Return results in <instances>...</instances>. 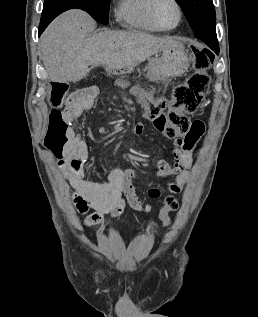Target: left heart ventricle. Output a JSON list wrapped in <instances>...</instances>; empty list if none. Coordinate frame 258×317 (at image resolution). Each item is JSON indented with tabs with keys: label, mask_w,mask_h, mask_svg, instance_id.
<instances>
[{
	"label": "left heart ventricle",
	"mask_w": 258,
	"mask_h": 317,
	"mask_svg": "<svg viewBox=\"0 0 258 317\" xmlns=\"http://www.w3.org/2000/svg\"><path fill=\"white\" fill-rule=\"evenodd\" d=\"M155 16L163 26L173 25L178 17L176 4L172 0H163L155 8Z\"/></svg>",
	"instance_id": "obj_1"
}]
</instances>
